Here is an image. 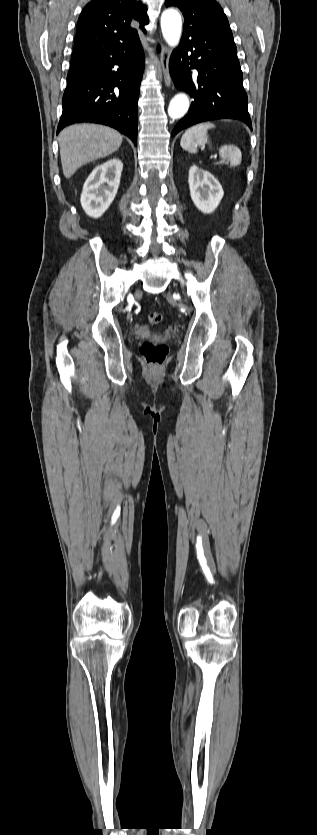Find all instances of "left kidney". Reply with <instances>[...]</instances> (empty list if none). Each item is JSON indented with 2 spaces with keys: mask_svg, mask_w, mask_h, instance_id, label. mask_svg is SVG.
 I'll list each match as a JSON object with an SVG mask.
<instances>
[{
  "mask_svg": "<svg viewBox=\"0 0 317 835\" xmlns=\"http://www.w3.org/2000/svg\"><path fill=\"white\" fill-rule=\"evenodd\" d=\"M188 183L194 205L206 214L215 211L224 195L218 180L210 172L193 165L189 169Z\"/></svg>",
  "mask_w": 317,
  "mask_h": 835,
  "instance_id": "left-kidney-1",
  "label": "left kidney"
}]
</instances>
